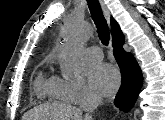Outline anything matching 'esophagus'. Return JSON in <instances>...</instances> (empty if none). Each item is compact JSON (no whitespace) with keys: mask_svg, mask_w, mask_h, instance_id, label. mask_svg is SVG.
<instances>
[{"mask_svg":"<svg viewBox=\"0 0 165 120\" xmlns=\"http://www.w3.org/2000/svg\"><path fill=\"white\" fill-rule=\"evenodd\" d=\"M100 4H101L105 17L109 20L110 16H109V11L106 8V5L104 4V2L102 0H100Z\"/></svg>","mask_w":165,"mask_h":120,"instance_id":"1","label":"esophagus"}]
</instances>
